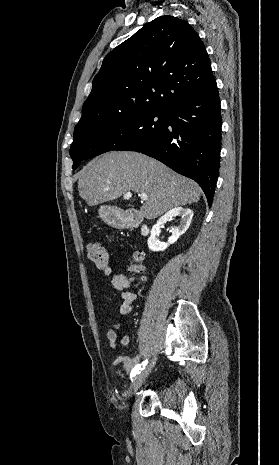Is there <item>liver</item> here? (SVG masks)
<instances>
[{
	"instance_id": "obj_1",
	"label": "liver",
	"mask_w": 279,
	"mask_h": 465,
	"mask_svg": "<svg viewBox=\"0 0 279 465\" xmlns=\"http://www.w3.org/2000/svg\"><path fill=\"white\" fill-rule=\"evenodd\" d=\"M79 195L89 206L115 200L129 191L146 193L139 215L155 219L168 210L198 202L197 183L138 152L111 151L90 161L80 172Z\"/></svg>"
}]
</instances>
